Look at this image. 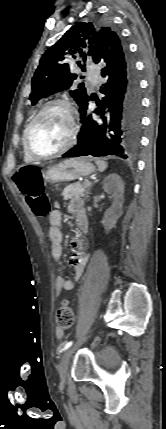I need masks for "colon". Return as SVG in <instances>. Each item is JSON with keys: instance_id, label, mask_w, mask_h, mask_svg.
Here are the masks:
<instances>
[{"instance_id": "colon-1", "label": "colon", "mask_w": 166, "mask_h": 429, "mask_svg": "<svg viewBox=\"0 0 166 429\" xmlns=\"http://www.w3.org/2000/svg\"><path fill=\"white\" fill-rule=\"evenodd\" d=\"M13 180L34 213L45 216L50 207L45 195L43 169L38 165H24L14 173ZM73 323V310L68 301H62L56 311L57 327L67 330Z\"/></svg>"}]
</instances>
